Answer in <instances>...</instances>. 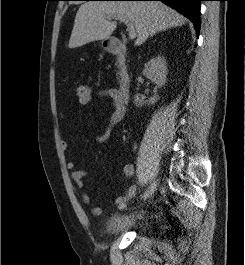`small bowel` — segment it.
Returning <instances> with one entry per match:
<instances>
[{
	"mask_svg": "<svg viewBox=\"0 0 245 265\" xmlns=\"http://www.w3.org/2000/svg\"><path fill=\"white\" fill-rule=\"evenodd\" d=\"M98 95L102 98H107L111 100L113 104V112L111 114L109 124L105 131L97 137V141L103 143L109 138L113 127L123 119L126 112V101L121 97L119 91L115 88L102 89L98 92ZM68 146L69 145L66 141H62L61 147L63 150H67ZM67 167L71 170V178L73 182L75 183L76 187L81 191V200L86 204H91V197L83 191L85 186L84 179L88 175V172L84 169L76 168V164L73 160L68 161ZM123 173L127 178L132 177L135 173L134 166L131 164L125 165L123 168ZM136 192L137 188L135 186H130L127 192L122 196H118L115 201L118 205L120 203H125L127 200L135 196ZM91 212L93 215L99 216L102 213V209L99 206H92Z\"/></svg>",
	"mask_w": 245,
	"mask_h": 265,
	"instance_id": "1",
	"label": "small bowel"
}]
</instances>
